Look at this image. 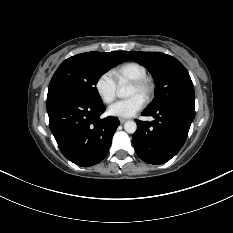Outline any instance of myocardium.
<instances>
[{
  "mask_svg": "<svg viewBox=\"0 0 233 233\" xmlns=\"http://www.w3.org/2000/svg\"><path fill=\"white\" fill-rule=\"evenodd\" d=\"M131 85L134 86L141 94L145 101H149L154 94V83L148 77L140 78L131 82Z\"/></svg>",
  "mask_w": 233,
  "mask_h": 233,
  "instance_id": "1",
  "label": "myocardium"
}]
</instances>
